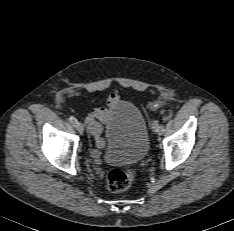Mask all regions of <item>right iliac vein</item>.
<instances>
[{
    "label": "right iliac vein",
    "mask_w": 234,
    "mask_h": 231,
    "mask_svg": "<svg viewBox=\"0 0 234 231\" xmlns=\"http://www.w3.org/2000/svg\"><path fill=\"white\" fill-rule=\"evenodd\" d=\"M76 129L80 134H83L84 127H83V125L81 123L78 122V124L76 126Z\"/></svg>",
    "instance_id": "obj_1"
}]
</instances>
